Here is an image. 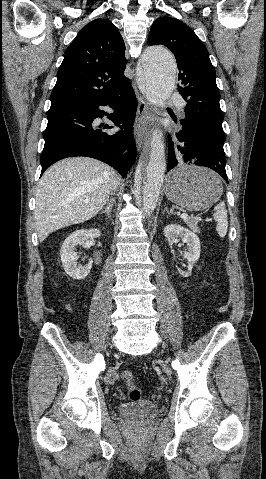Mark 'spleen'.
<instances>
[{"label":"spleen","instance_id":"1","mask_svg":"<svg viewBox=\"0 0 266 479\" xmlns=\"http://www.w3.org/2000/svg\"><path fill=\"white\" fill-rule=\"evenodd\" d=\"M213 217L215 221L217 222L216 231L218 235L222 238L225 237L227 234V228H228V218H227V210L225 208L224 202H220L214 208Z\"/></svg>","mask_w":266,"mask_h":479}]
</instances>
